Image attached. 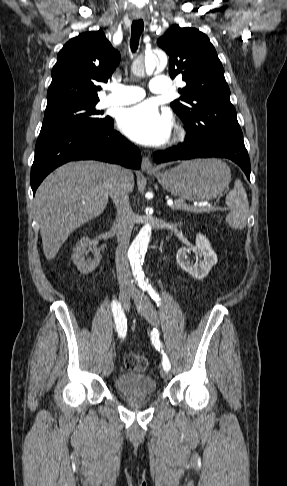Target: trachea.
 Instances as JSON below:
<instances>
[{"label":"trachea","instance_id":"obj_1","mask_svg":"<svg viewBox=\"0 0 287 486\" xmlns=\"http://www.w3.org/2000/svg\"><path fill=\"white\" fill-rule=\"evenodd\" d=\"M142 31H143V20L140 19V20L133 21L131 26L132 37H131V44H130L131 50L133 52H135L138 48L139 38Z\"/></svg>","mask_w":287,"mask_h":486}]
</instances>
